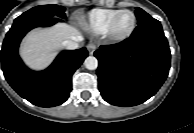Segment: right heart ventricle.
<instances>
[{
  "instance_id": "right-heart-ventricle-1",
  "label": "right heart ventricle",
  "mask_w": 194,
  "mask_h": 133,
  "mask_svg": "<svg viewBox=\"0 0 194 133\" xmlns=\"http://www.w3.org/2000/svg\"><path fill=\"white\" fill-rule=\"evenodd\" d=\"M118 11L119 9L113 8H95L83 17L82 23L93 33L105 34L110 19Z\"/></svg>"
}]
</instances>
